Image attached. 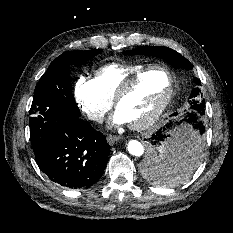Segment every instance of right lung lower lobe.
<instances>
[{"label":"right lung lower lobe","mask_w":233,"mask_h":233,"mask_svg":"<svg viewBox=\"0 0 233 233\" xmlns=\"http://www.w3.org/2000/svg\"><path fill=\"white\" fill-rule=\"evenodd\" d=\"M109 149L106 136L87 121L65 117L56 122L36 162L52 181L71 189H86L102 176Z\"/></svg>","instance_id":"obj_1"}]
</instances>
